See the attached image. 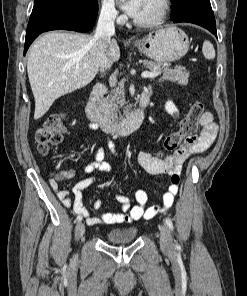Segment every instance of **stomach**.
Here are the masks:
<instances>
[{"instance_id":"stomach-1","label":"stomach","mask_w":247,"mask_h":296,"mask_svg":"<svg viewBox=\"0 0 247 296\" xmlns=\"http://www.w3.org/2000/svg\"><path fill=\"white\" fill-rule=\"evenodd\" d=\"M135 46L150 59L158 63L180 60L189 49V39L184 31L170 25L149 33Z\"/></svg>"}]
</instances>
